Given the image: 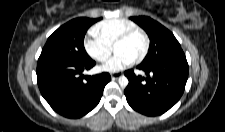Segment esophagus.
I'll return each instance as SVG.
<instances>
[{
    "label": "esophagus",
    "instance_id": "esophagus-1",
    "mask_svg": "<svg viewBox=\"0 0 225 132\" xmlns=\"http://www.w3.org/2000/svg\"><path fill=\"white\" fill-rule=\"evenodd\" d=\"M120 75H121L120 73H113V74H111V78H112L113 80H115V79L119 78Z\"/></svg>",
    "mask_w": 225,
    "mask_h": 132
}]
</instances>
